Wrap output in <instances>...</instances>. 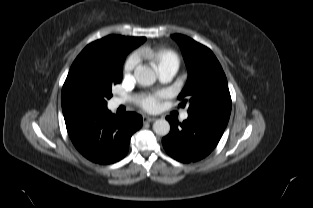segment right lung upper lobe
<instances>
[{
    "mask_svg": "<svg viewBox=\"0 0 313 208\" xmlns=\"http://www.w3.org/2000/svg\"><path fill=\"white\" fill-rule=\"evenodd\" d=\"M145 37H125L109 35L87 45L73 62L70 72L89 66L102 65L109 61L110 52L114 48H122L128 53L141 45Z\"/></svg>",
    "mask_w": 313,
    "mask_h": 208,
    "instance_id": "cb5924a9",
    "label": "right lung upper lobe"
}]
</instances>
